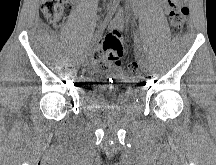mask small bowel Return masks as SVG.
I'll return each mask as SVG.
<instances>
[{
	"instance_id": "obj_1",
	"label": "small bowel",
	"mask_w": 216,
	"mask_h": 165,
	"mask_svg": "<svg viewBox=\"0 0 216 165\" xmlns=\"http://www.w3.org/2000/svg\"><path fill=\"white\" fill-rule=\"evenodd\" d=\"M160 2L163 4V6L165 7L166 10L169 8V6H170V0H160ZM120 24H121V20L114 21L112 23V27H116V26H118ZM100 51H101L100 49H97V50L94 51V53H93V59H94L95 54L99 53ZM94 61H95V59H94Z\"/></svg>"
}]
</instances>
